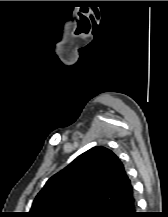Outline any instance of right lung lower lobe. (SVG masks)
<instances>
[{
  "label": "right lung lower lobe",
  "instance_id": "obj_1",
  "mask_svg": "<svg viewBox=\"0 0 168 217\" xmlns=\"http://www.w3.org/2000/svg\"><path fill=\"white\" fill-rule=\"evenodd\" d=\"M100 217H142V215L136 212V200L132 196L126 201L114 206Z\"/></svg>",
  "mask_w": 168,
  "mask_h": 217
}]
</instances>
